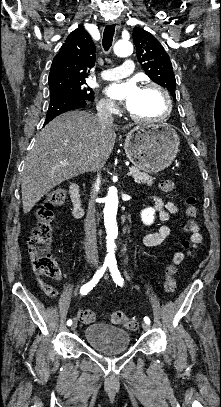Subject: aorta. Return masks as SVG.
<instances>
[{"instance_id": "aorta-1", "label": "aorta", "mask_w": 221, "mask_h": 407, "mask_svg": "<svg viewBox=\"0 0 221 407\" xmlns=\"http://www.w3.org/2000/svg\"><path fill=\"white\" fill-rule=\"evenodd\" d=\"M133 52V45L129 41L120 40L114 45V53L119 57H127ZM118 210V195L114 187L109 188L108 194L105 198L104 207V225L107 232L106 246L107 262L115 260V240L118 236V228L116 223V215Z\"/></svg>"}]
</instances>
